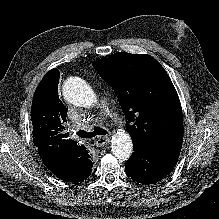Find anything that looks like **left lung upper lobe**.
<instances>
[{"label": "left lung upper lobe", "mask_w": 219, "mask_h": 219, "mask_svg": "<svg viewBox=\"0 0 219 219\" xmlns=\"http://www.w3.org/2000/svg\"><path fill=\"white\" fill-rule=\"evenodd\" d=\"M93 65L118 95L133 143L165 153L180 152L182 108L161 64L150 55L114 53Z\"/></svg>", "instance_id": "obj_1"}]
</instances>
